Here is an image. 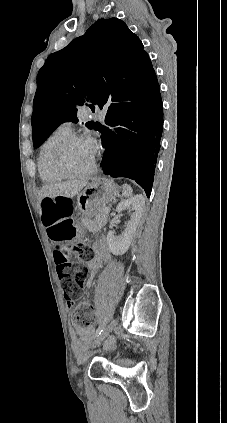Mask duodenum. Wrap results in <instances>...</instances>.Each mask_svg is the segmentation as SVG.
Returning a JSON list of instances; mask_svg holds the SVG:
<instances>
[{
	"instance_id": "obj_1",
	"label": "duodenum",
	"mask_w": 227,
	"mask_h": 423,
	"mask_svg": "<svg viewBox=\"0 0 227 423\" xmlns=\"http://www.w3.org/2000/svg\"><path fill=\"white\" fill-rule=\"evenodd\" d=\"M95 249H96L97 252H101V253L106 254V245L102 240H98L95 243Z\"/></svg>"
}]
</instances>
